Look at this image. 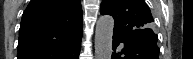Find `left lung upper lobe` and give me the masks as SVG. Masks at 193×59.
<instances>
[{
  "mask_svg": "<svg viewBox=\"0 0 193 59\" xmlns=\"http://www.w3.org/2000/svg\"><path fill=\"white\" fill-rule=\"evenodd\" d=\"M100 13L113 16L114 31L144 33L153 28V17L144 0H103Z\"/></svg>",
  "mask_w": 193,
  "mask_h": 59,
  "instance_id": "5c2ea615",
  "label": "left lung upper lobe"
}]
</instances>
